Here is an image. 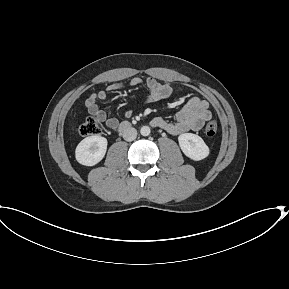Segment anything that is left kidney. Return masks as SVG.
I'll list each match as a JSON object with an SVG mask.
<instances>
[{"instance_id":"5707ae66","label":"left kidney","mask_w":289,"mask_h":289,"mask_svg":"<svg viewBox=\"0 0 289 289\" xmlns=\"http://www.w3.org/2000/svg\"><path fill=\"white\" fill-rule=\"evenodd\" d=\"M183 153L192 160L199 161L209 155V148L204 140L193 133H184L178 137Z\"/></svg>"}]
</instances>
